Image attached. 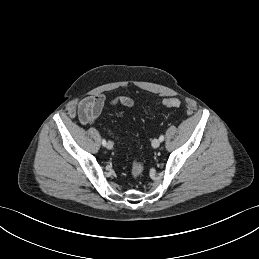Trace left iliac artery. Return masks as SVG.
I'll list each match as a JSON object with an SVG mask.
<instances>
[{
  "label": "left iliac artery",
  "instance_id": "44dca946",
  "mask_svg": "<svg viewBox=\"0 0 259 259\" xmlns=\"http://www.w3.org/2000/svg\"><path fill=\"white\" fill-rule=\"evenodd\" d=\"M159 140H160V142H162V141L164 140V135H161V136L159 137Z\"/></svg>",
  "mask_w": 259,
  "mask_h": 259
}]
</instances>
